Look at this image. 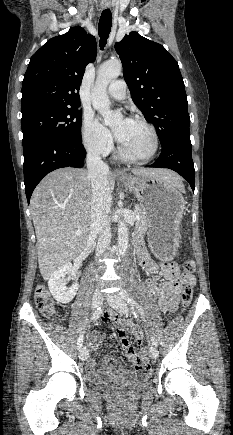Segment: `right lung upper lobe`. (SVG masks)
Masks as SVG:
<instances>
[{
  "mask_svg": "<svg viewBox=\"0 0 233 435\" xmlns=\"http://www.w3.org/2000/svg\"><path fill=\"white\" fill-rule=\"evenodd\" d=\"M96 40L80 26L49 39L30 59L22 84V116L50 107H77L84 70Z\"/></svg>",
  "mask_w": 233,
  "mask_h": 435,
  "instance_id": "obj_1",
  "label": "right lung upper lobe"
}]
</instances>
